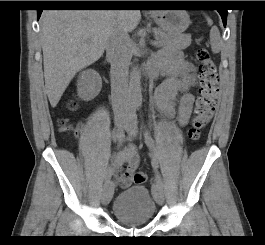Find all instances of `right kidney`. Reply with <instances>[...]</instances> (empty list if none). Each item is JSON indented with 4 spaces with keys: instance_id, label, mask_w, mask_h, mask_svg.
Segmentation results:
<instances>
[{
    "instance_id": "ca27d5eb",
    "label": "right kidney",
    "mask_w": 265,
    "mask_h": 245,
    "mask_svg": "<svg viewBox=\"0 0 265 245\" xmlns=\"http://www.w3.org/2000/svg\"><path fill=\"white\" fill-rule=\"evenodd\" d=\"M102 88V79L93 69L83 71L77 80V89L79 96L83 100L95 98Z\"/></svg>"
}]
</instances>
